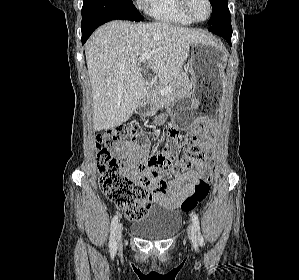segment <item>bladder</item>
Segmentation results:
<instances>
[{
	"instance_id": "bladder-1",
	"label": "bladder",
	"mask_w": 299,
	"mask_h": 280,
	"mask_svg": "<svg viewBox=\"0 0 299 280\" xmlns=\"http://www.w3.org/2000/svg\"><path fill=\"white\" fill-rule=\"evenodd\" d=\"M182 224V217L175 210H154L143 220L132 225V232L148 240H164L175 235Z\"/></svg>"
}]
</instances>
